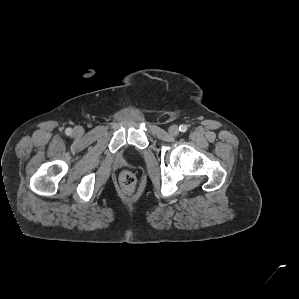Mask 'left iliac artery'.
Wrapping results in <instances>:
<instances>
[{"instance_id": "obj_1", "label": "left iliac artery", "mask_w": 299, "mask_h": 299, "mask_svg": "<svg viewBox=\"0 0 299 299\" xmlns=\"http://www.w3.org/2000/svg\"><path fill=\"white\" fill-rule=\"evenodd\" d=\"M179 130H180L181 132H186V131H187V126L184 125V124H182V125H180Z\"/></svg>"}]
</instances>
